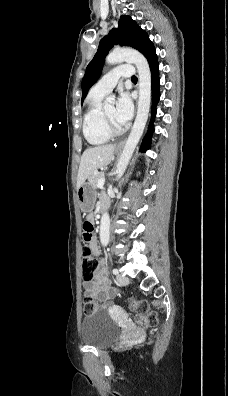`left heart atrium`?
<instances>
[{
	"instance_id": "obj_1",
	"label": "left heart atrium",
	"mask_w": 228,
	"mask_h": 396,
	"mask_svg": "<svg viewBox=\"0 0 228 396\" xmlns=\"http://www.w3.org/2000/svg\"><path fill=\"white\" fill-rule=\"evenodd\" d=\"M133 114V103L130 95L126 92H121L115 107V120L123 126L131 119Z\"/></svg>"
}]
</instances>
